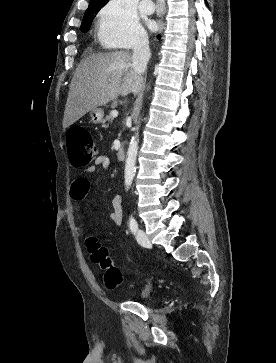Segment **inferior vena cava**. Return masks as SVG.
I'll return each instance as SVG.
<instances>
[{
  "label": "inferior vena cava",
  "instance_id": "obj_1",
  "mask_svg": "<svg viewBox=\"0 0 276 363\" xmlns=\"http://www.w3.org/2000/svg\"><path fill=\"white\" fill-rule=\"evenodd\" d=\"M151 52L147 35H140L133 45L132 67L140 75L146 71Z\"/></svg>",
  "mask_w": 276,
  "mask_h": 363
}]
</instances>
